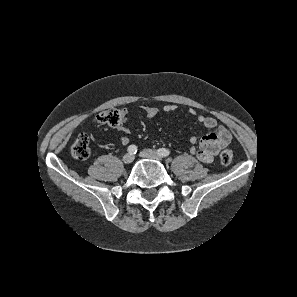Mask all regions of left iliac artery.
<instances>
[{
    "instance_id": "1",
    "label": "left iliac artery",
    "mask_w": 297,
    "mask_h": 297,
    "mask_svg": "<svg viewBox=\"0 0 297 297\" xmlns=\"http://www.w3.org/2000/svg\"><path fill=\"white\" fill-rule=\"evenodd\" d=\"M157 153L162 156V157H166L170 155V151L166 148H160L157 150Z\"/></svg>"
}]
</instances>
